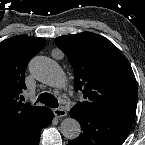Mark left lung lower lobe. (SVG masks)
Returning <instances> with one entry per match:
<instances>
[{"label":"left lung lower lobe","instance_id":"1","mask_svg":"<svg viewBox=\"0 0 145 145\" xmlns=\"http://www.w3.org/2000/svg\"><path fill=\"white\" fill-rule=\"evenodd\" d=\"M70 115L78 120L83 132L68 145H122L135 119L132 114L92 113L76 108Z\"/></svg>","mask_w":145,"mask_h":145}]
</instances>
